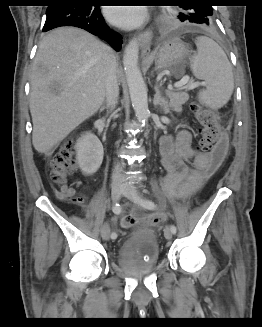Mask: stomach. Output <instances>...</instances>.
Instances as JSON below:
<instances>
[{
	"instance_id": "1",
	"label": "stomach",
	"mask_w": 262,
	"mask_h": 327,
	"mask_svg": "<svg viewBox=\"0 0 262 327\" xmlns=\"http://www.w3.org/2000/svg\"><path fill=\"white\" fill-rule=\"evenodd\" d=\"M188 55L189 51L184 43L170 41L160 46L153 60L158 72L171 71L176 75H181V68L185 64Z\"/></svg>"
}]
</instances>
